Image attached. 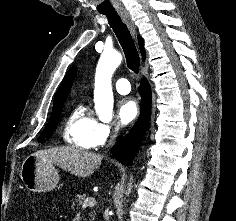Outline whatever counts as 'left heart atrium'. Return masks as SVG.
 <instances>
[{"label":"left heart atrium","instance_id":"39dd6f15","mask_svg":"<svg viewBox=\"0 0 236 221\" xmlns=\"http://www.w3.org/2000/svg\"><path fill=\"white\" fill-rule=\"evenodd\" d=\"M138 110L135 101L131 98H123L118 102V119L120 124L127 125L137 116Z\"/></svg>","mask_w":236,"mask_h":221}]
</instances>
